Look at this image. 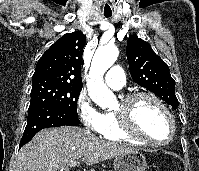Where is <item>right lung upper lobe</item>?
<instances>
[{"instance_id": "right-lung-upper-lobe-1", "label": "right lung upper lobe", "mask_w": 199, "mask_h": 171, "mask_svg": "<svg viewBox=\"0 0 199 171\" xmlns=\"http://www.w3.org/2000/svg\"><path fill=\"white\" fill-rule=\"evenodd\" d=\"M86 36L75 31L59 38L39 59L32 80H55L82 86L81 63Z\"/></svg>"}]
</instances>
